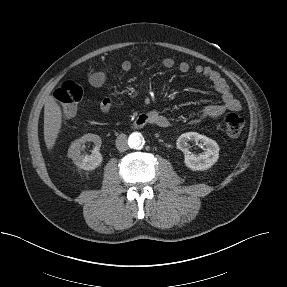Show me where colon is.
Segmentation results:
<instances>
[{
  "label": "colon",
  "instance_id": "1",
  "mask_svg": "<svg viewBox=\"0 0 287 287\" xmlns=\"http://www.w3.org/2000/svg\"><path fill=\"white\" fill-rule=\"evenodd\" d=\"M54 96L62 108L63 115L72 117L82 99L83 89L74 81H66L56 89ZM224 125L227 134L236 137L242 132L245 120L240 114L230 113L225 117Z\"/></svg>",
  "mask_w": 287,
  "mask_h": 287
}]
</instances>
